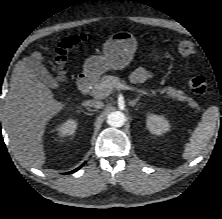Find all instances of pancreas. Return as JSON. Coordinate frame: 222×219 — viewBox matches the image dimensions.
Here are the masks:
<instances>
[{"label": "pancreas", "instance_id": "pancreas-1", "mask_svg": "<svg viewBox=\"0 0 222 219\" xmlns=\"http://www.w3.org/2000/svg\"><path fill=\"white\" fill-rule=\"evenodd\" d=\"M118 82H120V79L118 77L105 75L95 84L91 93L95 98H99V99L105 98L112 91V90L109 91V87L114 86V84ZM138 91L143 94H147L145 90H138ZM161 93H165L168 97L174 100L188 102V106L196 109V112H199L200 110V107L198 106V104L192 98L186 96L182 90H176L175 88L169 86V87L163 88L161 90Z\"/></svg>", "mask_w": 222, "mask_h": 219}]
</instances>
